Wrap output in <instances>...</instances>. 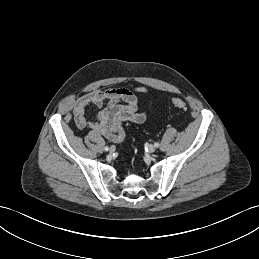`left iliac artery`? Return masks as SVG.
<instances>
[{
    "label": "left iliac artery",
    "instance_id": "obj_1",
    "mask_svg": "<svg viewBox=\"0 0 259 259\" xmlns=\"http://www.w3.org/2000/svg\"><path fill=\"white\" fill-rule=\"evenodd\" d=\"M154 146H155V147H158V146H159V143H158V142H156V143L154 144Z\"/></svg>",
    "mask_w": 259,
    "mask_h": 259
}]
</instances>
